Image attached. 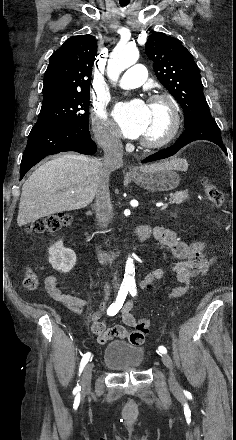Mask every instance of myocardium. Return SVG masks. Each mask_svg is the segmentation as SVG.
Segmentation results:
<instances>
[{"label": "myocardium", "mask_w": 236, "mask_h": 440, "mask_svg": "<svg viewBox=\"0 0 236 440\" xmlns=\"http://www.w3.org/2000/svg\"><path fill=\"white\" fill-rule=\"evenodd\" d=\"M149 103H163L167 106L170 113V125L167 132L162 137L158 139L142 138L140 140V144L143 147L156 149L166 146L176 138L181 127V113L177 101L168 93L160 92L153 94L149 98Z\"/></svg>", "instance_id": "myocardium-1"}]
</instances>
